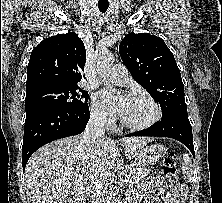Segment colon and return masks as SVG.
<instances>
[{
	"instance_id": "colon-1",
	"label": "colon",
	"mask_w": 222,
	"mask_h": 203,
	"mask_svg": "<svg viewBox=\"0 0 222 203\" xmlns=\"http://www.w3.org/2000/svg\"><path fill=\"white\" fill-rule=\"evenodd\" d=\"M177 164V157L174 154L167 156L163 162V175L169 182L173 184L177 183Z\"/></svg>"
}]
</instances>
